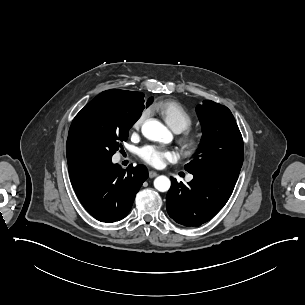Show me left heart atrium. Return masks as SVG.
<instances>
[{
  "label": "left heart atrium",
  "mask_w": 305,
  "mask_h": 305,
  "mask_svg": "<svg viewBox=\"0 0 305 305\" xmlns=\"http://www.w3.org/2000/svg\"><path fill=\"white\" fill-rule=\"evenodd\" d=\"M139 157L146 163L159 167L165 161H174L177 154L174 150L154 144H147L138 149Z\"/></svg>",
  "instance_id": "left-heart-atrium-1"
}]
</instances>
